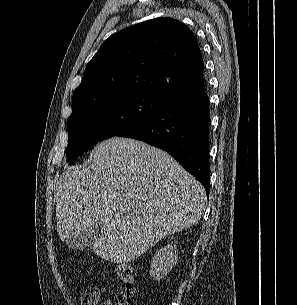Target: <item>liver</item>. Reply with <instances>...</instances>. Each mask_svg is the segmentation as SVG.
<instances>
[{
	"label": "liver",
	"instance_id": "6515ba94",
	"mask_svg": "<svg viewBox=\"0 0 297 305\" xmlns=\"http://www.w3.org/2000/svg\"><path fill=\"white\" fill-rule=\"evenodd\" d=\"M90 158L88 167L68 169L57 181L56 227L62 241L98 224L102 234L94 253L126 263L200 220L205 190L167 152L112 137Z\"/></svg>",
	"mask_w": 297,
	"mask_h": 305
}]
</instances>
